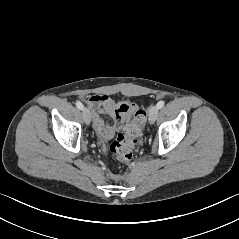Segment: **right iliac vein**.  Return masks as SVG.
<instances>
[{"label": "right iliac vein", "mask_w": 239, "mask_h": 239, "mask_svg": "<svg viewBox=\"0 0 239 239\" xmlns=\"http://www.w3.org/2000/svg\"><path fill=\"white\" fill-rule=\"evenodd\" d=\"M82 114H83V120H84V122H85L87 125H89L90 122H91V113H90L89 109L83 108Z\"/></svg>", "instance_id": "obj_1"}]
</instances>
